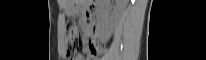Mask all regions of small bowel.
I'll return each mask as SVG.
<instances>
[{"mask_svg":"<svg viewBox=\"0 0 206 60\" xmlns=\"http://www.w3.org/2000/svg\"><path fill=\"white\" fill-rule=\"evenodd\" d=\"M89 56L92 58L97 53L96 40L92 37L88 43ZM75 60H83L81 56H77Z\"/></svg>","mask_w":206,"mask_h":60,"instance_id":"obj_1","label":"small bowel"}]
</instances>
